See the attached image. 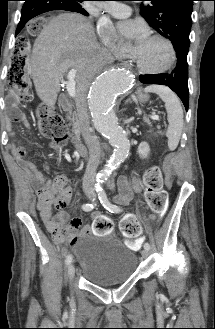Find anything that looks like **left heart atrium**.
Here are the masks:
<instances>
[{
    "instance_id": "39dd6f15",
    "label": "left heart atrium",
    "mask_w": 215,
    "mask_h": 329,
    "mask_svg": "<svg viewBox=\"0 0 215 329\" xmlns=\"http://www.w3.org/2000/svg\"><path fill=\"white\" fill-rule=\"evenodd\" d=\"M122 37L134 43V48L142 47L150 38L148 28L140 20H127L118 25Z\"/></svg>"
}]
</instances>
